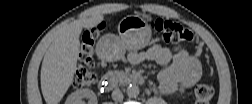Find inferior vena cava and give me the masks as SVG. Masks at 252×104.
<instances>
[{
    "label": "inferior vena cava",
    "mask_w": 252,
    "mask_h": 104,
    "mask_svg": "<svg viewBox=\"0 0 252 104\" xmlns=\"http://www.w3.org/2000/svg\"><path fill=\"white\" fill-rule=\"evenodd\" d=\"M112 99L115 102H121L123 100V93L121 92V90L119 88H116L113 90Z\"/></svg>",
    "instance_id": "602c4592"
}]
</instances>
